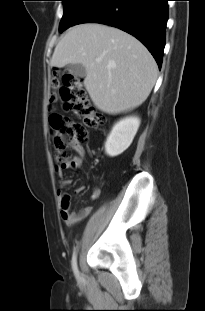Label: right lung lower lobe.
<instances>
[{"label": "right lung lower lobe", "instance_id": "1", "mask_svg": "<svg viewBox=\"0 0 205 311\" xmlns=\"http://www.w3.org/2000/svg\"><path fill=\"white\" fill-rule=\"evenodd\" d=\"M167 1L92 0L73 25L101 23L128 32L147 47L160 68L168 19Z\"/></svg>", "mask_w": 205, "mask_h": 311}]
</instances>
